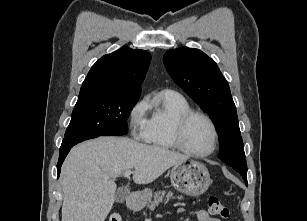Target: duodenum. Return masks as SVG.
Instances as JSON below:
<instances>
[{
	"instance_id": "obj_1",
	"label": "duodenum",
	"mask_w": 307,
	"mask_h": 221,
	"mask_svg": "<svg viewBox=\"0 0 307 221\" xmlns=\"http://www.w3.org/2000/svg\"><path fill=\"white\" fill-rule=\"evenodd\" d=\"M141 197L140 195L133 194L128 200V206L132 210H138L140 208Z\"/></svg>"
}]
</instances>
